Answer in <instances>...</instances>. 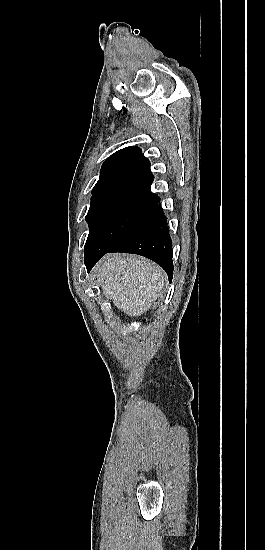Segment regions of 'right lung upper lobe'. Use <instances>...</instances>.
Returning a JSON list of instances; mask_svg holds the SVG:
<instances>
[{
  "label": "right lung upper lobe",
  "mask_w": 265,
  "mask_h": 550,
  "mask_svg": "<svg viewBox=\"0 0 265 550\" xmlns=\"http://www.w3.org/2000/svg\"><path fill=\"white\" fill-rule=\"evenodd\" d=\"M153 180L150 162L143 156L141 149L126 147L105 160L100 178L92 190V197L118 189L150 188Z\"/></svg>",
  "instance_id": "obj_1"
}]
</instances>
